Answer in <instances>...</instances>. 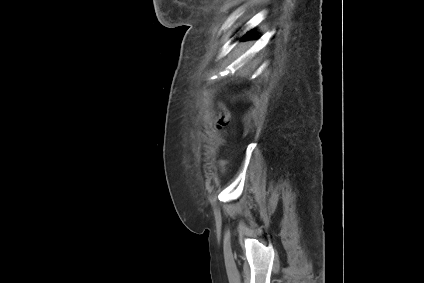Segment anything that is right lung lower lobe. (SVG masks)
<instances>
[{"label":"right lung lower lobe","mask_w":424,"mask_h":283,"mask_svg":"<svg viewBox=\"0 0 424 283\" xmlns=\"http://www.w3.org/2000/svg\"><path fill=\"white\" fill-rule=\"evenodd\" d=\"M253 32H250L248 35H245V38H248V37H252L251 36V34H252Z\"/></svg>","instance_id":"98d812e1"}]
</instances>
